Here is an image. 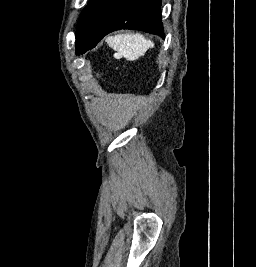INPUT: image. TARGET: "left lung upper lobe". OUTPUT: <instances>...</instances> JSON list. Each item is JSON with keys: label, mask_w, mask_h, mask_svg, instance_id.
<instances>
[{"label": "left lung upper lobe", "mask_w": 256, "mask_h": 267, "mask_svg": "<svg viewBox=\"0 0 256 267\" xmlns=\"http://www.w3.org/2000/svg\"><path fill=\"white\" fill-rule=\"evenodd\" d=\"M161 0H90L78 23L76 54L93 48L120 29L142 30L164 37Z\"/></svg>", "instance_id": "left-lung-upper-lobe-1"}]
</instances>
